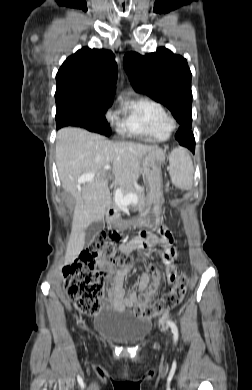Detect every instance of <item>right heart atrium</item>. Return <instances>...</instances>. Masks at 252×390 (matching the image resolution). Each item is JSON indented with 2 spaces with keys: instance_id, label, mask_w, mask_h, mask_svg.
Returning <instances> with one entry per match:
<instances>
[{
  "instance_id": "d8ad5b80",
  "label": "right heart atrium",
  "mask_w": 252,
  "mask_h": 390,
  "mask_svg": "<svg viewBox=\"0 0 252 390\" xmlns=\"http://www.w3.org/2000/svg\"><path fill=\"white\" fill-rule=\"evenodd\" d=\"M106 116H107L108 119L114 120V114H113V113L108 112V113L106 114Z\"/></svg>"
}]
</instances>
